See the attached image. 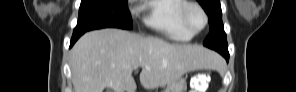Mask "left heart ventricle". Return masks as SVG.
Returning a JSON list of instances; mask_svg holds the SVG:
<instances>
[{
	"label": "left heart ventricle",
	"instance_id": "obj_1",
	"mask_svg": "<svg viewBox=\"0 0 296 92\" xmlns=\"http://www.w3.org/2000/svg\"><path fill=\"white\" fill-rule=\"evenodd\" d=\"M188 19L193 29H199L203 25V16L197 9L190 10Z\"/></svg>",
	"mask_w": 296,
	"mask_h": 92
}]
</instances>
